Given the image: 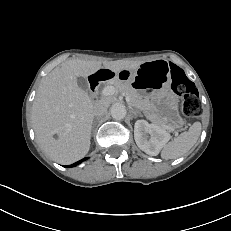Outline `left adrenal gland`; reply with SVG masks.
Wrapping results in <instances>:
<instances>
[{
  "mask_svg": "<svg viewBox=\"0 0 231 231\" xmlns=\"http://www.w3.org/2000/svg\"><path fill=\"white\" fill-rule=\"evenodd\" d=\"M131 110H132V113L134 114L135 117H136L138 114H139L140 116H142L138 111L134 110L133 108H131Z\"/></svg>",
  "mask_w": 231,
  "mask_h": 231,
  "instance_id": "obj_1",
  "label": "left adrenal gland"
}]
</instances>
